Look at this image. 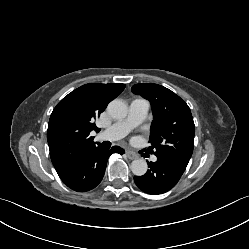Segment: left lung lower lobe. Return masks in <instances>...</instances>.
Listing matches in <instances>:
<instances>
[{
    "mask_svg": "<svg viewBox=\"0 0 249 249\" xmlns=\"http://www.w3.org/2000/svg\"><path fill=\"white\" fill-rule=\"evenodd\" d=\"M149 170L143 176H135L136 185L148 194H162L172 189L182 174L187 164L177 160L157 156L156 162L148 163Z\"/></svg>",
    "mask_w": 249,
    "mask_h": 249,
    "instance_id": "obj_1",
    "label": "left lung lower lobe"
}]
</instances>
